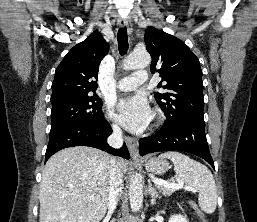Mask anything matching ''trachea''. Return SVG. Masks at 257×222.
I'll return each instance as SVG.
<instances>
[{"instance_id":"obj_1","label":"trachea","mask_w":257,"mask_h":222,"mask_svg":"<svg viewBox=\"0 0 257 222\" xmlns=\"http://www.w3.org/2000/svg\"><path fill=\"white\" fill-rule=\"evenodd\" d=\"M118 49L121 56H124L128 51V35L126 27L120 28L117 34Z\"/></svg>"}]
</instances>
